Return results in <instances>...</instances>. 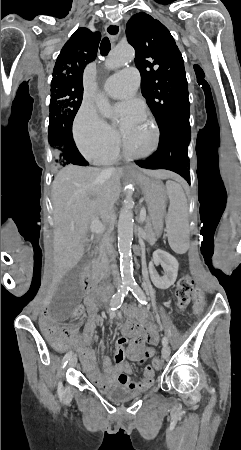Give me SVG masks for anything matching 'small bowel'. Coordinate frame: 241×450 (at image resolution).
<instances>
[{
  "label": "small bowel",
  "instance_id": "1",
  "mask_svg": "<svg viewBox=\"0 0 241 450\" xmlns=\"http://www.w3.org/2000/svg\"><path fill=\"white\" fill-rule=\"evenodd\" d=\"M86 297L85 304L87 305L91 314L90 320L86 323L84 328L80 331L77 327L65 328L63 333L68 340H73L76 349L82 355L83 366L89 378L100 389L106 390L114 383L118 382L123 389L129 390H144L150 387L155 381L154 369H147L145 367L143 372V379L135 382L130 378L131 367L125 360L135 362L138 365H143L151 355L155 354V345L158 342L157 330H146L145 326L139 328L137 324H129L132 321L127 320L123 326V336L119 338L116 345V352L111 359L108 356L101 358L102 371H99L95 364V357L93 351L89 349V344L92 340L95 324L94 315L97 310V296L92 291L94 284L87 282L85 284ZM40 310L37 311L38 319H52L53 312L49 310L46 301L40 302ZM44 334L50 335L52 333L51 322L44 320L42 322ZM51 343L56 344L59 341L58 336L53 335L48 339ZM125 346H127L125 348Z\"/></svg>",
  "mask_w": 241,
  "mask_h": 450
}]
</instances>
